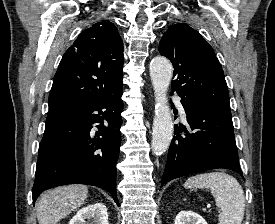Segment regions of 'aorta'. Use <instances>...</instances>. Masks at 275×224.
I'll return each mask as SVG.
<instances>
[{
    "mask_svg": "<svg viewBox=\"0 0 275 224\" xmlns=\"http://www.w3.org/2000/svg\"><path fill=\"white\" fill-rule=\"evenodd\" d=\"M172 74V65L165 57H156L151 61L150 77L156 101L151 147L155 155L163 154L173 137V121L167 98Z\"/></svg>",
    "mask_w": 275,
    "mask_h": 224,
    "instance_id": "1",
    "label": "aorta"
}]
</instances>
